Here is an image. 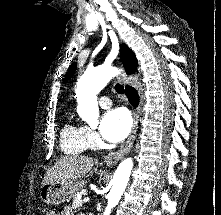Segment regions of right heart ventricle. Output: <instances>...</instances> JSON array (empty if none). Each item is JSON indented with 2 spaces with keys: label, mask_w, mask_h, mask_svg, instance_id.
<instances>
[{
  "label": "right heart ventricle",
  "mask_w": 221,
  "mask_h": 215,
  "mask_svg": "<svg viewBox=\"0 0 221 215\" xmlns=\"http://www.w3.org/2000/svg\"><path fill=\"white\" fill-rule=\"evenodd\" d=\"M62 150L67 154H79L84 152L88 147L84 137L82 126L67 123L60 136Z\"/></svg>",
  "instance_id": "obj_1"
}]
</instances>
